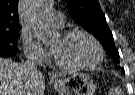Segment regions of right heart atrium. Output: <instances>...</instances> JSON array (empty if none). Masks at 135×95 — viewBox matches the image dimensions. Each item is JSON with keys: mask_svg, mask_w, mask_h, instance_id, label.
I'll use <instances>...</instances> for the list:
<instances>
[{"mask_svg": "<svg viewBox=\"0 0 135 95\" xmlns=\"http://www.w3.org/2000/svg\"><path fill=\"white\" fill-rule=\"evenodd\" d=\"M23 47L25 55L30 59H45L47 57L46 51L28 35L23 37Z\"/></svg>", "mask_w": 135, "mask_h": 95, "instance_id": "d8ad5b80", "label": "right heart atrium"}]
</instances>
